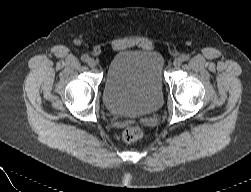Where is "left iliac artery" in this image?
Returning a JSON list of instances; mask_svg holds the SVG:
<instances>
[{"label":"left iliac artery","mask_w":251,"mask_h":192,"mask_svg":"<svg viewBox=\"0 0 251 192\" xmlns=\"http://www.w3.org/2000/svg\"><path fill=\"white\" fill-rule=\"evenodd\" d=\"M189 55H182L181 56V59L183 60V61H187V60H189Z\"/></svg>","instance_id":"left-iliac-artery-1"}]
</instances>
